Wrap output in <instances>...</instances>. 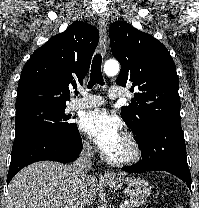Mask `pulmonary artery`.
<instances>
[{
	"label": "pulmonary artery",
	"mask_w": 199,
	"mask_h": 208,
	"mask_svg": "<svg viewBox=\"0 0 199 208\" xmlns=\"http://www.w3.org/2000/svg\"><path fill=\"white\" fill-rule=\"evenodd\" d=\"M126 92L118 87H112L108 93L109 98L116 99L125 96ZM105 99L100 95L82 92L80 96L73 98L69 103L70 110H81L101 106Z\"/></svg>",
	"instance_id": "pulmonary-artery-1"
}]
</instances>
